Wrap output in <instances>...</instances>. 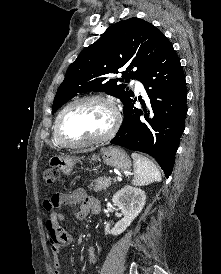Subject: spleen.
Returning <instances> with one entry per match:
<instances>
[{
    "instance_id": "1",
    "label": "spleen",
    "mask_w": 221,
    "mask_h": 274,
    "mask_svg": "<svg viewBox=\"0 0 221 274\" xmlns=\"http://www.w3.org/2000/svg\"><path fill=\"white\" fill-rule=\"evenodd\" d=\"M131 157L134 166L133 185L145 186L162 180L159 169L150 159L138 153H133Z\"/></svg>"
}]
</instances>
